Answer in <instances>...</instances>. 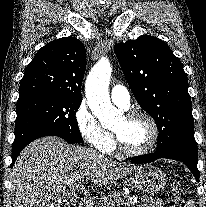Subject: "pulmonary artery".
Masks as SVG:
<instances>
[{"label": "pulmonary artery", "instance_id": "pulmonary-artery-1", "mask_svg": "<svg viewBox=\"0 0 206 207\" xmlns=\"http://www.w3.org/2000/svg\"><path fill=\"white\" fill-rule=\"evenodd\" d=\"M111 100L117 106L127 109L130 104V93L126 87L115 85L111 90Z\"/></svg>", "mask_w": 206, "mask_h": 207}]
</instances>
